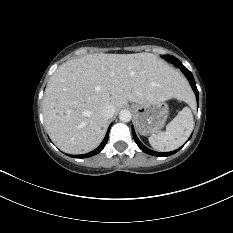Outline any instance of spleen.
Listing matches in <instances>:
<instances>
[{
    "label": "spleen",
    "instance_id": "obj_1",
    "mask_svg": "<svg viewBox=\"0 0 233 233\" xmlns=\"http://www.w3.org/2000/svg\"><path fill=\"white\" fill-rule=\"evenodd\" d=\"M191 102V98L186 97ZM194 127L193 115L189 107H184L177 116L167 124L166 130L149 137L150 145L161 152L172 151L185 143Z\"/></svg>",
    "mask_w": 233,
    "mask_h": 233
}]
</instances>
